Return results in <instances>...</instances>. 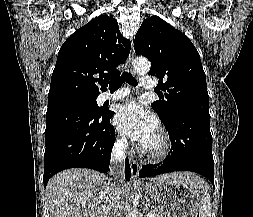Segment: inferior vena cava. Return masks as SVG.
Here are the masks:
<instances>
[{"instance_id":"obj_1","label":"inferior vena cava","mask_w":253,"mask_h":217,"mask_svg":"<svg viewBox=\"0 0 253 217\" xmlns=\"http://www.w3.org/2000/svg\"><path fill=\"white\" fill-rule=\"evenodd\" d=\"M127 149V141L125 139L120 140L116 143L112 150L111 154V175H119L122 174L124 171V161H125V153ZM122 179H113L111 182L110 193L112 196V207H113V217L120 216V208H121V199H123L122 194ZM112 217V216H109Z\"/></svg>"}]
</instances>
